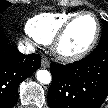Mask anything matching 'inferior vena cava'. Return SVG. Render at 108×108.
<instances>
[{
	"label": "inferior vena cava",
	"instance_id": "1",
	"mask_svg": "<svg viewBox=\"0 0 108 108\" xmlns=\"http://www.w3.org/2000/svg\"><path fill=\"white\" fill-rule=\"evenodd\" d=\"M18 50L23 54H31L35 51L34 46L28 41H21L18 44Z\"/></svg>",
	"mask_w": 108,
	"mask_h": 108
}]
</instances>
